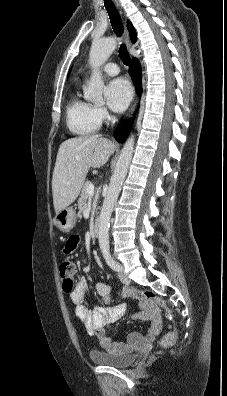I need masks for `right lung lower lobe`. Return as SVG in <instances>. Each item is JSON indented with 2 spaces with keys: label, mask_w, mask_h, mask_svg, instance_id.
Returning <instances> with one entry per match:
<instances>
[{
  "label": "right lung lower lobe",
  "mask_w": 227,
  "mask_h": 396,
  "mask_svg": "<svg viewBox=\"0 0 227 396\" xmlns=\"http://www.w3.org/2000/svg\"><path fill=\"white\" fill-rule=\"evenodd\" d=\"M129 73L130 76L133 79L134 84L136 85L137 89L139 90V93H141L142 87H141V68L138 63V60L136 58L132 59L131 66L129 68ZM131 122L130 120L127 123H123L120 125V127L115 131V138L117 139L118 142H125L127 135L130 131L131 128Z\"/></svg>",
  "instance_id": "obj_1"
}]
</instances>
